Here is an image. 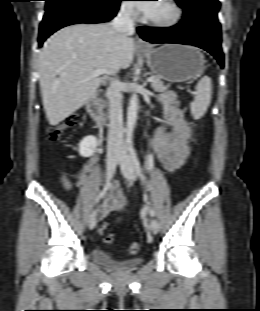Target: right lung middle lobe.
<instances>
[{"label": "right lung middle lobe", "instance_id": "right-lung-middle-lobe-1", "mask_svg": "<svg viewBox=\"0 0 260 311\" xmlns=\"http://www.w3.org/2000/svg\"><path fill=\"white\" fill-rule=\"evenodd\" d=\"M104 1H108V2H111V1H114V0H104Z\"/></svg>", "mask_w": 260, "mask_h": 311}]
</instances>
